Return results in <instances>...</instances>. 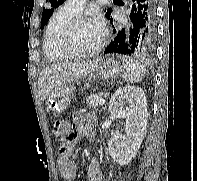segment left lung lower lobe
Listing matches in <instances>:
<instances>
[{
    "instance_id": "obj_1",
    "label": "left lung lower lobe",
    "mask_w": 197,
    "mask_h": 181,
    "mask_svg": "<svg viewBox=\"0 0 197 181\" xmlns=\"http://www.w3.org/2000/svg\"><path fill=\"white\" fill-rule=\"evenodd\" d=\"M155 1L132 0V11L129 16L131 23L117 32L104 54L116 53L146 58L153 54L156 38Z\"/></svg>"
}]
</instances>
